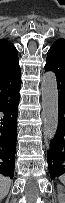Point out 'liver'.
<instances>
[{
	"label": "liver",
	"instance_id": "liver-1",
	"mask_svg": "<svg viewBox=\"0 0 65 203\" xmlns=\"http://www.w3.org/2000/svg\"><path fill=\"white\" fill-rule=\"evenodd\" d=\"M11 185V180L7 177L0 176V198L3 199L7 196Z\"/></svg>",
	"mask_w": 65,
	"mask_h": 203
}]
</instances>
